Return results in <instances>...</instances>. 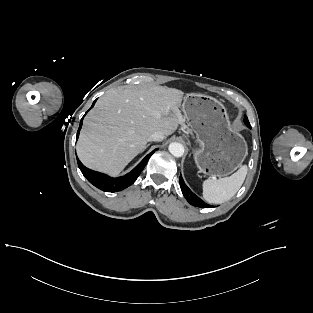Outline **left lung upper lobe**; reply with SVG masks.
<instances>
[{"instance_id": "5c2ea615", "label": "left lung upper lobe", "mask_w": 313, "mask_h": 313, "mask_svg": "<svg viewBox=\"0 0 313 313\" xmlns=\"http://www.w3.org/2000/svg\"><path fill=\"white\" fill-rule=\"evenodd\" d=\"M244 123L247 125V127L251 128L248 118L246 116H244Z\"/></svg>"}]
</instances>
